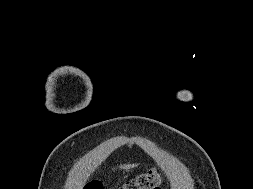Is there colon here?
<instances>
[{
	"label": "colon",
	"instance_id": "colon-1",
	"mask_svg": "<svg viewBox=\"0 0 253 189\" xmlns=\"http://www.w3.org/2000/svg\"><path fill=\"white\" fill-rule=\"evenodd\" d=\"M162 176L159 172L151 170L132 180L127 181L118 189H161ZM85 189H102V184L98 180H92L86 184Z\"/></svg>",
	"mask_w": 253,
	"mask_h": 189
}]
</instances>
